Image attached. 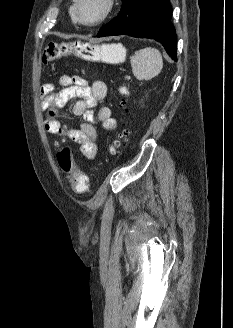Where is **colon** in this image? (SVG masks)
<instances>
[{"mask_svg":"<svg viewBox=\"0 0 233 328\" xmlns=\"http://www.w3.org/2000/svg\"><path fill=\"white\" fill-rule=\"evenodd\" d=\"M70 55L87 61L112 62L120 60L124 56V52L115 44L92 45L82 41L50 43L43 51L42 61L44 64H48ZM119 93L121 95L120 107L122 109H126V97L128 95L127 87L124 85L121 86L119 88ZM64 127L65 130L69 129L67 126ZM60 135L65 134L61 133ZM126 137L127 132L122 131L113 139L109 147V152L111 155L115 156L120 153L121 149L125 145ZM57 159L60 167L68 173L72 189L78 193L89 192L91 187L90 181L83 173L81 168L75 163L71 150L67 145H63L59 148L57 152Z\"/></svg>","mask_w":233,"mask_h":328,"instance_id":"1","label":"colon"}]
</instances>
